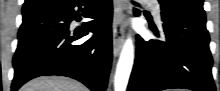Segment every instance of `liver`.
Here are the masks:
<instances>
[{
	"mask_svg": "<svg viewBox=\"0 0 220 91\" xmlns=\"http://www.w3.org/2000/svg\"><path fill=\"white\" fill-rule=\"evenodd\" d=\"M20 91H89L81 83L63 76H41L26 83Z\"/></svg>",
	"mask_w": 220,
	"mask_h": 91,
	"instance_id": "obj_1",
	"label": "liver"
}]
</instances>
